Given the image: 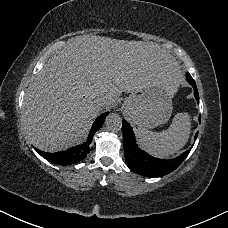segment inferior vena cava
Here are the masks:
<instances>
[{
  "label": "inferior vena cava",
  "instance_id": "inferior-vena-cava-1",
  "mask_svg": "<svg viewBox=\"0 0 228 228\" xmlns=\"http://www.w3.org/2000/svg\"><path fill=\"white\" fill-rule=\"evenodd\" d=\"M96 105H97L98 107H102L103 102L99 100V101L96 102Z\"/></svg>",
  "mask_w": 228,
  "mask_h": 228
}]
</instances>
